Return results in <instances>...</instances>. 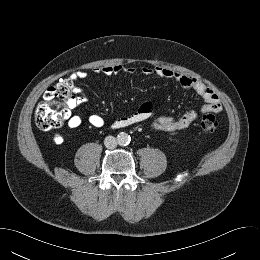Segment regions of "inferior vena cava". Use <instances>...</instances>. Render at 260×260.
Instances as JSON below:
<instances>
[{"label": "inferior vena cava", "mask_w": 260, "mask_h": 260, "mask_svg": "<svg viewBox=\"0 0 260 260\" xmlns=\"http://www.w3.org/2000/svg\"><path fill=\"white\" fill-rule=\"evenodd\" d=\"M104 145L109 149H113L117 146V139L114 136H107L104 139Z\"/></svg>", "instance_id": "obj_1"}]
</instances>
